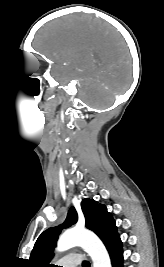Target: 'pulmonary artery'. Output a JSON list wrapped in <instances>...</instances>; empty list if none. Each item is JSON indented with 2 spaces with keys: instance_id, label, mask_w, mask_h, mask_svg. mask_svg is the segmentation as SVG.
I'll return each mask as SVG.
<instances>
[{
  "instance_id": "1",
  "label": "pulmonary artery",
  "mask_w": 164,
  "mask_h": 267,
  "mask_svg": "<svg viewBox=\"0 0 164 267\" xmlns=\"http://www.w3.org/2000/svg\"><path fill=\"white\" fill-rule=\"evenodd\" d=\"M81 262L82 258L73 253L71 256L64 258L61 265L63 267H77L79 264H81Z\"/></svg>"
}]
</instances>
